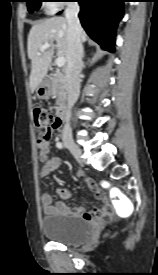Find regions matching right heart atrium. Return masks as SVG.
Returning a JSON list of instances; mask_svg holds the SVG:
<instances>
[{
  "instance_id": "d8ad5b80",
  "label": "right heart atrium",
  "mask_w": 158,
  "mask_h": 275,
  "mask_svg": "<svg viewBox=\"0 0 158 275\" xmlns=\"http://www.w3.org/2000/svg\"><path fill=\"white\" fill-rule=\"evenodd\" d=\"M53 2H55V3L51 4V9H54V8H56V7L60 6V5H62L61 2H64V1H63V0H55V1H53Z\"/></svg>"
}]
</instances>
